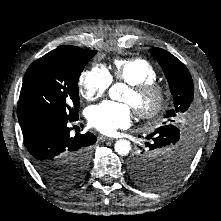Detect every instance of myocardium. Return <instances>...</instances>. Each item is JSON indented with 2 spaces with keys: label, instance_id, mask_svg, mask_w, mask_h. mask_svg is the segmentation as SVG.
Wrapping results in <instances>:
<instances>
[{
  "label": "myocardium",
  "instance_id": "f54148a6",
  "mask_svg": "<svg viewBox=\"0 0 221 221\" xmlns=\"http://www.w3.org/2000/svg\"><path fill=\"white\" fill-rule=\"evenodd\" d=\"M129 90L137 100L152 99L149 106H135L134 111L141 119L151 120L159 117L169 103L168 89L158 82H145L138 85H130Z\"/></svg>",
  "mask_w": 221,
  "mask_h": 221
}]
</instances>
